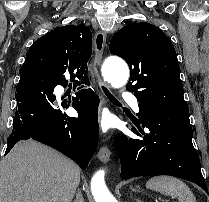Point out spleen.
Listing matches in <instances>:
<instances>
[{"mask_svg": "<svg viewBox=\"0 0 209 202\" xmlns=\"http://www.w3.org/2000/svg\"><path fill=\"white\" fill-rule=\"evenodd\" d=\"M146 188L177 198L179 202H196V198L190 188L175 177H152L147 181Z\"/></svg>", "mask_w": 209, "mask_h": 202, "instance_id": "obj_1", "label": "spleen"}]
</instances>
